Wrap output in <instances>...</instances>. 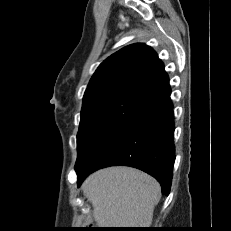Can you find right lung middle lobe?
Wrapping results in <instances>:
<instances>
[{
  "label": "right lung middle lobe",
  "mask_w": 231,
  "mask_h": 231,
  "mask_svg": "<svg viewBox=\"0 0 231 231\" xmlns=\"http://www.w3.org/2000/svg\"><path fill=\"white\" fill-rule=\"evenodd\" d=\"M147 104L138 97L119 94L98 98L83 107L77 134L75 169H79L107 137Z\"/></svg>",
  "instance_id": "dd1d6c3e"
}]
</instances>
